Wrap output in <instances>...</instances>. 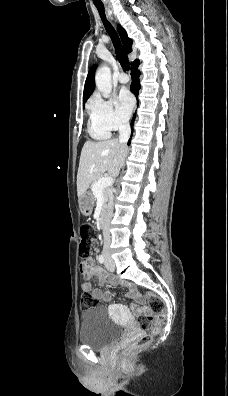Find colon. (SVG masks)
Masks as SVG:
<instances>
[{
    "mask_svg": "<svg viewBox=\"0 0 228 396\" xmlns=\"http://www.w3.org/2000/svg\"><path fill=\"white\" fill-rule=\"evenodd\" d=\"M80 243H79V254L82 259V263H86L90 259V246L88 244V235L90 227L87 224H83L80 227ZM145 298L148 302L154 315L143 314L138 320L140 329L143 334L138 336L128 347V352L141 350L147 347L153 337L160 331L162 320L164 317L165 305L162 299L153 292H147ZM98 306V300L90 293H83L81 297V307L83 309H91Z\"/></svg>",
    "mask_w": 228,
    "mask_h": 396,
    "instance_id": "5ec220e1",
    "label": "colon"
}]
</instances>
